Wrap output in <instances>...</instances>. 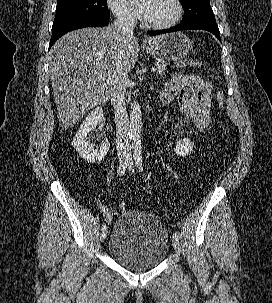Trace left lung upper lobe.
I'll use <instances>...</instances> for the list:
<instances>
[{"label": "left lung upper lobe", "mask_w": 272, "mask_h": 303, "mask_svg": "<svg viewBox=\"0 0 272 303\" xmlns=\"http://www.w3.org/2000/svg\"><path fill=\"white\" fill-rule=\"evenodd\" d=\"M184 7L181 24L215 21L210 0H180Z\"/></svg>", "instance_id": "1"}]
</instances>
